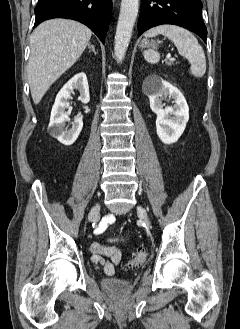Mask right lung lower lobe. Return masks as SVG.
<instances>
[{"label": "right lung lower lobe", "instance_id": "obj_1", "mask_svg": "<svg viewBox=\"0 0 240 329\" xmlns=\"http://www.w3.org/2000/svg\"><path fill=\"white\" fill-rule=\"evenodd\" d=\"M112 0H39L35 24L53 18H67L88 26L104 43L111 20Z\"/></svg>", "mask_w": 240, "mask_h": 329}]
</instances>
